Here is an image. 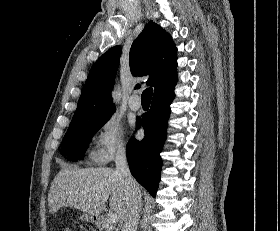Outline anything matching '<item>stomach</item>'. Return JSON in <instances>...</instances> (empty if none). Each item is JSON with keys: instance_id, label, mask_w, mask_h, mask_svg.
I'll use <instances>...</instances> for the list:
<instances>
[{"instance_id": "0dacf381", "label": "stomach", "mask_w": 280, "mask_h": 231, "mask_svg": "<svg viewBox=\"0 0 280 231\" xmlns=\"http://www.w3.org/2000/svg\"><path fill=\"white\" fill-rule=\"evenodd\" d=\"M81 219H83V221H93V223H96V225H99V221H98V217H91V215H88V213H83V215H81Z\"/></svg>"}]
</instances>
